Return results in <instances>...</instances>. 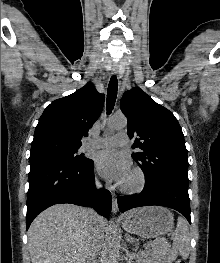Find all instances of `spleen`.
I'll return each mask as SVG.
<instances>
[{"instance_id":"spleen-1","label":"spleen","mask_w":220,"mask_h":263,"mask_svg":"<svg viewBox=\"0 0 220 263\" xmlns=\"http://www.w3.org/2000/svg\"><path fill=\"white\" fill-rule=\"evenodd\" d=\"M171 251L174 255L179 254L183 258L189 256L190 234L187 221L184 218H178Z\"/></svg>"}]
</instances>
